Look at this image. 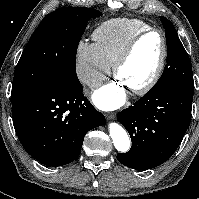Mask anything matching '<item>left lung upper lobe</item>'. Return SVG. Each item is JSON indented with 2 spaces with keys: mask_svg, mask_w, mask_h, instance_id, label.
<instances>
[{
  "mask_svg": "<svg viewBox=\"0 0 199 199\" xmlns=\"http://www.w3.org/2000/svg\"><path fill=\"white\" fill-rule=\"evenodd\" d=\"M165 28L167 49V65L162 77L150 90L161 91L177 84H194L192 66L189 56L184 49L173 24L161 16Z\"/></svg>",
  "mask_w": 199,
  "mask_h": 199,
  "instance_id": "obj_1",
  "label": "left lung upper lobe"
}]
</instances>
